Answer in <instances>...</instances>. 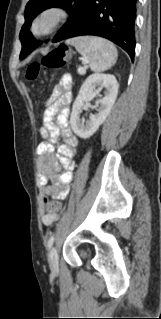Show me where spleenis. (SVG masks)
<instances>
[{
  "label": "spleen",
  "instance_id": "spleen-1",
  "mask_svg": "<svg viewBox=\"0 0 161 319\" xmlns=\"http://www.w3.org/2000/svg\"><path fill=\"white\" fill-rule=\"evenodd\" d=\"M70 43L84 57L94 72L111 68L117 60V49L106 39L86 36L71 39Z\"/></svg>",
  "mask_w": 161,
  "mask_h": 319
}]
</instances>
